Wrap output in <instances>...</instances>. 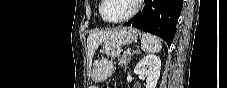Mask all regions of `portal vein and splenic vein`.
Segmentation results:
<instances>
[{
  "label": "portal vein and splenic vein",
  "instance_id": "18ae733b",
  "mask_svg": "<svg viewBox=\"0 0 227 88\" xmlns=\"http://www.w3.org/2000/svg\"><path fill=\"white\" fill-rule=\"evenodd\" d=\"M125 54L126 55H131V52L130 51H126Z\"/></svg>",
  "mask_w": 227,
  "mask_h": 88
}]
</instances>
